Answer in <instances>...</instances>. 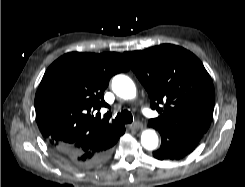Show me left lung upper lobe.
Masks as SVG:
<instances>
[{"mask_svg": "<svg viewBox=\"0 0 245 187\" xmlns=\"http://www.w3.org/2000/svg\"><path fill=\"white\" fill-rule=\"evenodd\" d=\"M160 116L149 124L171 131L207 132L214 109L213 82L201 61L186 49L162 44L124 52Z\"/></svg>", "mask_w": 245, "mask_h": 187, "instance_id": "left-lung-upper-lobe-1", "label": "left lung upper lobe"}]
</instances>
